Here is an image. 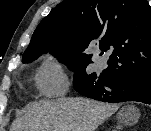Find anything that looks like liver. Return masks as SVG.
Listing matches in <instances>:
<instances>
[{"label":"liver","instance_id":"obj_1","mask_svg":"<svg viewBox=\"0 0 151 131\" xmlns=\"http://www.w3.org/2000/svg\"><path fill=\"white\" fill-rule=\"evenodd\" d=\"M117 106L82 97L39 101L30 105L10 131H96ZM127 121L136 123L139 112L131 108Z\"/></svg>","mask_w":151,"mask_h":131}]
</instances>
